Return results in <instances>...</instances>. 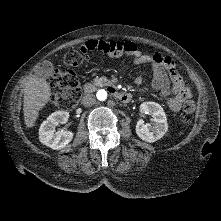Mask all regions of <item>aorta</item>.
Segmentation results:
<instances>
[{
	"label": "aorta",
	"instance_id": "762f6f07",
	"mask_svg": "<svg viewBox=\"0 0 221 221\" xmlns=\"http://www.w3.org/2000/svg\"><path fill=\"white\" fill-rule=\"evenodd\" d=\"M107 98V92L105 90H99L97 92V99L100 101H104Z\"/></svg>",
	"mask_w": 221,
	"mask_h": 221
}]
</instances>
